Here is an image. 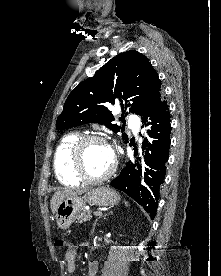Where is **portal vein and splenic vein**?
Returning a JSON list of instances; mask_svg holds the SVG:
<instances>
[{
    "label": "portal vein and splenic vein",
    "mask_w": 221,
    "mask_h": 276,
    "mask_svg": "<svg viewBox=\"0 0 221 276\" xmlns=\"http://www.w3.org/2000/svg\"><path fill=\"white\" fill-rule=\"evenodd\" d=\"M102 213L101 212H94L95 216H100Z\"/></svg>",
    "instance_id": "18ae733b"
}]
</instances>
